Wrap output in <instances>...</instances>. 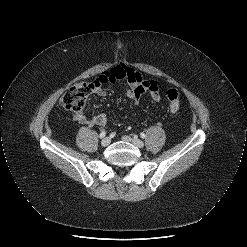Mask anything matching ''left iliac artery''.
<instances>
[{
  "mask_svg": "<svg viewBox=\"0 0 247 247\" xmlns=\"http://www.w3.org/2000/svg\"><path fill=\"white\" fill-rule=\"evenodd\" d=\"M140 136H141V138H143V139L145 138V134H144V133H141Z\"/></svg>",
  "mask_w": 247,
  "mask_h": 247,
  "instance_id": "left-iliac-artery-1",
  "label": "left iliac artery"
}]
</instances>
